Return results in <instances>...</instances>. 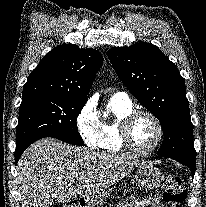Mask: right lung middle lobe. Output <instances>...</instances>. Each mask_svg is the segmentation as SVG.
Masks as SVG:
<instances>
[{"label": "right lung middle lobe", "instance_id": "obj_1", "mask_svg": "<svg viewBox=\"0 0 206 207\" xmlns=\"http://www.w3.org/2000/svg\"><path fill=\"white\" fill-rule=\"evenodd\" d=\"M85 102L52 96H40L22 101L16 128V150L26 149L44 137L83 146L76 119Z\"/></svg>", "mask_w": 206, "mask_h": 207}]
</instances>
